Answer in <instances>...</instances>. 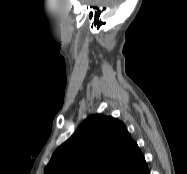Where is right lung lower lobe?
<instances>
[{
  "mask_svg": "<svg viewBox=\"0 0 187 174\" xmlns=\"http://www.w3.org/2000/svg\"><path fill=\"white\" fill-rule=\"evenodd\" d=\"M142 174H149V170H145L144 172H142Z\"/></svg>",
  "mask_w": 187,
  "mask_h": 174,
  "instance_id": "right-lung-lower-lobe-1",
  "label": "right lung lower lobe"
}]
</instances>
